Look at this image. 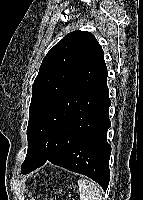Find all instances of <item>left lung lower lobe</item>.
Listing matches in <instances>:
<instances>
[{
    "mask_svg": "<svg viewBox=\"0 0 143 200\" xmlns=\"http://www.w3.org/2000/svg\"><path fill=\"white\" fill-rule=\"evenodd\" d=\"M103 50L38 115L31 138V158L23 174L47 161L87 175L106 190L110 180L111 105Z\"/></svg>",
    "mask_w": 143,
    "mask_h": 200,
    "instance_id": "left-lung-lower-lobe-1",
    "label": "left lung lower lobe"
}]
</instances>
